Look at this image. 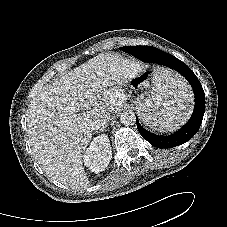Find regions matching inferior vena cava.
I'll return each mask as SVG.
<instances>
[{"label":"inferior vena cava","instance_id":"1","mask_svg":"<svg viewBox=\"0 0 227 227\" xmlns=\"http://www.w3.org/2000/svg\"><path fill=\"white\" fill-rule=\"evenodd\" d=\"M110 119V117H107L106 119H103V120H98L97 123H96V127L97 129H102V127H104L105 125H107V121Z\"/></svg>","mask_w":227,"mask_h":227}]
</instances>
